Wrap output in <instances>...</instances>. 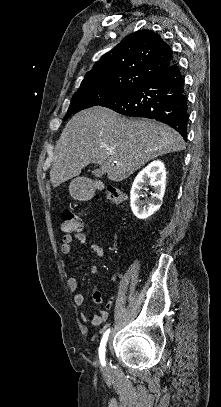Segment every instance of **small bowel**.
I'll list each match as a JSON object with an SVG mask.
<instances>
[{
  "instance_id": "1",
  "label": "small bowel",
  "mask_w": 221,
  "mask_h": 407,
  "mask_svg": "<svg viewBox=\"0 0 221 407\" xmlns=\"http://www.w3.org/2000/svg\"><path fill=\"white\" fill-rule=\"evenodd\" d=\"M73 239L77 240L79 243H81L82 245L88 247L90 250H92L98 257H103L104 256V249L99 246L96 243H92L87 239V236L83 233H78L75 234L74 237L70 236V235H66L62 237L61 240V253L64 256H71L72 254V243H73ZM84 269L86 271H88L91 274L96 275L98 273V268L95 265H85ZM119 277L118 274L113 275L112 279L113 280H117ZM66 285L67 288L71 291V292H75L77 290L78 287V283L75 277L73 276H69L66 279ZM93 302L96 305H100L103 302V297L102 294L100 292L99 289H94L93 294ZM73 303L75 306L80 307L85 303V295L82 292H78L75 293L73 295ZM112 305V301H110L107 304V308H110ZM81 319L83 322L85 323H91L93 325H99L101 323H103L106 320V312H100L98 315H95L93 317L82 313L81 314Z\"/></svg>"
}]
</instances>
